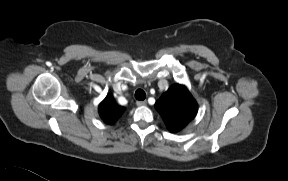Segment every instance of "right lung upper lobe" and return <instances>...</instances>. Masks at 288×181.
<instances>
[{"label":"right lung upper lobe","instance_id":"cb5924a9","mask_svg":"<svg viewBox=\"0 0 288 181\" xmlns=\"http://www.w3.org/2000/svg\"><path fill=\"white\" fill-rule=\"evenodd\" d=\"M99 115L107 124L115 123L124 111V107L116 104L115 100L107 96L98 107Z\"/></svg>","mask_w":288,"mask_h":181}]
</instances>
